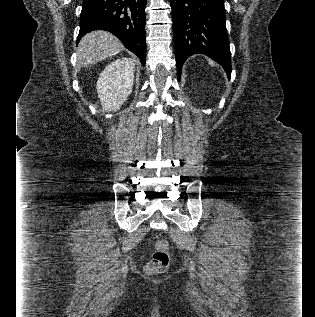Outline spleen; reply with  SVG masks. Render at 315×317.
<instances>
[{
    "mask_svg": "<svg viewBox=\"0 0 315 317\" xmlns=\"http://www.w3.org/2000/svg\"><path fill=\"white\" fill-rule=\"evenodd\" d=\"M208 62L211 64V65H215V63L211 60H208Z\"/></svg>",
    "mask_w": 315,
    "mask_h": 317,
    "instance_id": "3e777b00",
    "label": "spleen"
}]
</instances>
